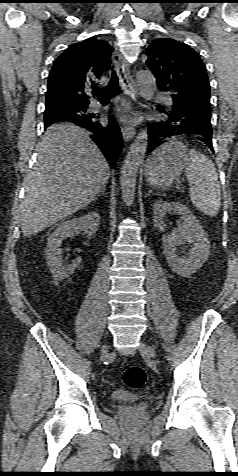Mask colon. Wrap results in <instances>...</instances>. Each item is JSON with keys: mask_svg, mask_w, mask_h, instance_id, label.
Returning a JSON list of instances; mask_svg holds the SVG:
<instances>
[{"mask_svg": "<svg viewBox=\"0 0 238 476\" xmlns=\"http://www.w3.org/2000/svg\"><path fill=\"white\" fill-rule=\"evenodd\" d=\"M147 375L145 370L139 366H131L123 372V382L132 389H139L146 383Z\"/></svg>", "mask_w": 238, "mask_h": 476, "instance_id": "1", "label": "colon"}]
</instances>
